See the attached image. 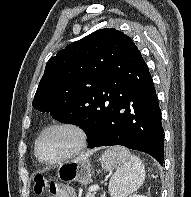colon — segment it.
Returning <instances> with one entry per match:
<instances>
[{"label":"colon","instance_id":"colon-1","mask_svg":"<svg viewBox=\"0 0 191 197\" xmlns=\"http://www.w3.org/2000/svg\"><path fill=\"white\" fill-rule=\"evenodd\" d=\"M49 190L52 194L58 197H69L70 192L64 190L61 186L50 181L47 177L42 175H36L34 178V191L37 194H41L46 190Z\"/></svg>","mask_w":191,"mask_h":197}]
</instances>
